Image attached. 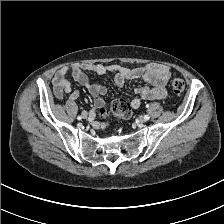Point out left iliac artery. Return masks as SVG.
<instances>
[{
  "instance_id": "left-iliac-artery-1",
  "label": "left iliac artery",
  "mask_w": 224,
  "mask_h": 224,
  "mask_svg": "<svg viewBox=\"0 0 224 224\" xmlns=\"http://www.w3.org/2000/svg\"><path fill=\"white\" fill-rule=\"evenodd\" d=\"M144 117H145L146 120H149V116L148 115H145Z\"/></svg>"
}]
</instances>
